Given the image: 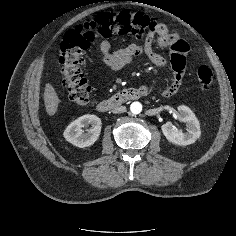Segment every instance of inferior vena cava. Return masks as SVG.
I'll return each mask as SVG.
<instances>
[{"label":"inferior vena cava","instance_id":"inferior-vena-cava-1","mask_svg":"<svg viewBox=\"0 0 236 236\" xmlns=\"http://www.w3.org/2000/svg\"><path fill=\"white\" fill-rule=\"evenodd\" d=\"M112 112H113L114 114H117V113H124V112H126V107H125V106L116 107Z\"/></svg>","mask_w":236,"mask_h":236}]
</instances>
